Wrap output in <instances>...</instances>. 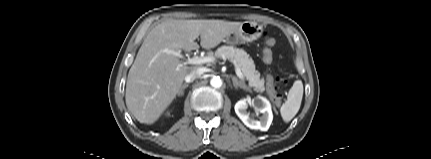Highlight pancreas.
<instances>
[{
  "label": "pancreas",
  "instance_id": "cf45deb5",
  "mask_svg": "<svg viewBox=\"0 0 431 159\" xmlns=\"http://www.w3.org/2000/svg\"><path fill=\"white\" fill-rule=\"evenodd\" d=\"M215 56L224 59L234 60L243 75L249 82V87L253 88L256 92L263 93L265 90L270 99L275 98V90L272 86L268 85L265 88V80L260 78V73L255 70L253 59L247 54L246 51L233 46H221L215 52Z\"/></svg>",
  "mask_w": 431,
  "mask_h": 159
}]
</instances>
